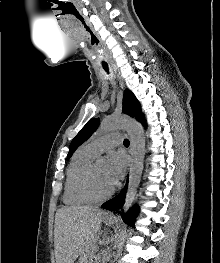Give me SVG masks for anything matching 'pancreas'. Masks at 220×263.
Masks as SVG:
<instances>
[{"label": "pancreas", "mask_w": 220, "mask_h": 263, "mask_svg": "<svg viewBox=\"0 0 220 263\" xmlns=\"http://www.w3.org/2000/svg\"><path fill=\"white\" fill-rule=\"evenodd\" d=\"M95 244L91 245L90 249L87 251L89 254L93 253L94 249H95Z\"/></svg>", "instance_id": "obj_1"}]
</instances>
